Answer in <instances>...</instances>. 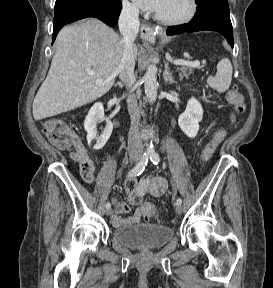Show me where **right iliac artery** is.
<instances>
[{
  "label": "right iliac artery",
  "instance_id": "obj_1",
  "mask_svg": "<svg viewBox=\"0 0 273 288\" xmlns=\"http://www.w3.org/2000/svg\"><path fill=\"white\" fill-rule=\"evenodd\" d=\"M150 155L149 154H144L142 156V158L140 159V161L136 164V166L130 170V172L128 173V176H139L145 169V166L148 163ZM106 209L111 207V204L109 202L106 203L105 205Z\"/></svg>",
  "mask_w": 273,
  "mask_h": 288
}]
</instances>
